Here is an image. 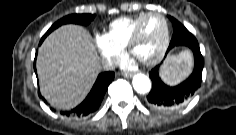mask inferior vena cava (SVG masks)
<instances>
[{"label":"inferior vena cava","mask_w":236,"mask_h":135,"mask_svg":"<svg viewBox=\"0 0 236 135\" xmlns=\"http://www.w3.org/2000/svg\"><path fill=\"white\" fill-rule=\"evenodd\" d=\"M103 67H104V69L109 70V69L114 68V67H115V64H114V62L111 61V60H105V61L103 62Z\"/></svg>","instance_id":"obj_1"}]
</instances>
